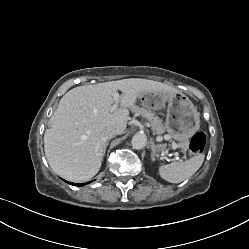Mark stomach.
<instances>
[{
    "label": "stomach",
    "mask_w": 249,
    "mask_h": 249,
    "mask_svg": "<svg viewBox=\"0 0 249 249\" xmlns=\"http://www.w3.org/2000/svg\"><path fill=\"white\" fill-rule=\"evenodd\" d=\"M139 98L143 105L160 109L168 104L166 129L170 136L180 142L187 141L192 137L200 126L199 112L193 103L181 92L153 93L150 91L142 92ZM153 105V106H152ZM166 146L157 145L158 151L164 152Z\"/></svg>",
    "instance_id": "obj_1"
}]
</instances>
